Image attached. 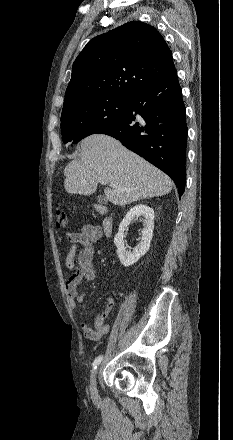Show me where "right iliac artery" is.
<instances>
[{
	"label": "right iliac artery",
	"mask_w": 233,
	"mask_h": 440,
	"mask_svg": "<svg viewBox=\"0 0 233 440\" xmlns=\"http://www.w3.org/2000/svg\"><path fill=\"white\" fill-rule=\"evenodd\" d=\"M102 358H103L102 355H100V356H98V357L95 358V360H94V362H93V364H92V366H93L94 369H96L97 366L101 363Z\"/></svg>",
	"instance_id": "82829eb1"
}]
</instances>
